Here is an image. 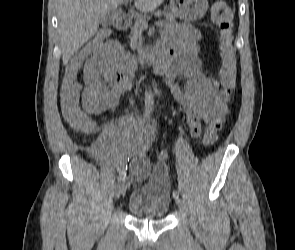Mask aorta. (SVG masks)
Here are the masks:
<instances>
[{
  "label": "aorta",
  "mask_w": 295,
  "mask_h": 250,
  "mask_svg": "<svg viewBox=\"0 0 295 250\" xmlns=\"http://www.w3.org/2000/svg\"><path fill=\"white\" fill-rule=\"evenodd\" d=\"M154 104V97L153 93L150 89L145 91V105L146 106H152Z\"/></svg>",
  "instance_id": "aorta-1"
}]
</instances>
